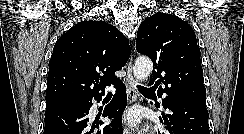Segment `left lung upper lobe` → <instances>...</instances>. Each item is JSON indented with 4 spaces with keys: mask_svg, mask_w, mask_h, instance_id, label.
I'll list each match as a JSON object with an SVG mask.
<instances>
[{
    "mask_svg": "<svg viewBox=\"0 0 244 134\" xmlns=\"http://www.w3.org/2000/svg\"><path fill=\"white\" fill-rule=\"evenodd\" d=\"M136 49L153 62L150 85L162 82L168 97L206 105L200 49L195 32L175 15L158 12L139 26Z\"/></svg>",
    "mask_w": 244,
    "mask_h": 134,
    "instance_id": "left-lung-upper-lobe-1",
    "label": "left lung upper lobe"
}]
</instances>
